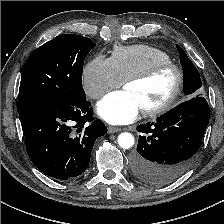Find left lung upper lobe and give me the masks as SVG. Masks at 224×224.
<instances>
[{
	"label": "left lung upper lobe",
	"instance_id": "left-lung-upper-lobe-1",
	"mask_svg": "<svg viewBox=\"0 0 224 224\" xmlns=\"http://www.w3.org/2000/svg\"><path fill=\"white\" fill-rule=\"evenodd\" d=\"M176 47L180 54V61L184 72L183 91L186 95H188L189 98L198 97L201 95L202 91L200 74L182 48L179 45H176Z\"/></svg>",
	"mask_w": 224,
	"mask_h": 224
}]
</instances>
